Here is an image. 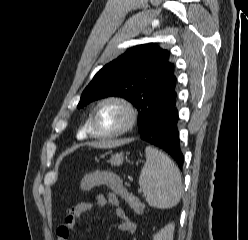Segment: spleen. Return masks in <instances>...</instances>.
<instances>
[{
  "label": "spleen",
  "mask_w": 248,
  "mask_h": 240,
  "mask_svg": "<svg viewBox=\"0 0 248 240\" xmlns=\"http://www.w3.org/2000/svg\"><path fill=\"white\" fill-rule=\"evenodd\" d=\"M146 163L141 170L139 185L147 203L156 208L169 209L182 196L181 174L173 161L163 152L146 147Z\"/></svg>",
  "instance_id": "obj_1"
}]
</instances>
